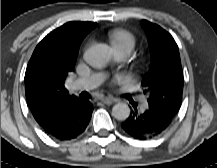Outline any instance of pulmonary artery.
Listing matches in <instances>:
<instances>
[{
    "label": "pulmonary artery",
    "mask_w": 217,
    "mask_h": 168,
    "mask_svg": "<svg viewBox=\"0 0 217 168\" xmlns=\"http://www.w3.org/2000/svg\"><path fill=\"white\" fill-rule=\"evenodd\" d=\"M112 55L114 60L118 63L125 61L129 56V54L120 47H113ZM105 79V72H95L86 77L79 78L75 81L74 86L76 88L91 89L100 85Z\"/></svg>",
    "instance_id": "e3ab8cb5"
}]
</instances>
